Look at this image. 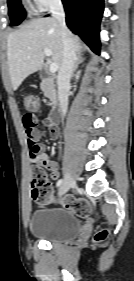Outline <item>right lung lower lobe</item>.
Listing matches in <instances>:
<instances>
[{"instance_id": "obj_1", "label": "right lung lower lobe", "mask_w": 134, "mask_h": 281, "mask_svg": "<svg viewBox=\"0 0 134 281\" xmlns=\"http://www.w3.org/2000/svg\"><path fill=\"white\" fill-rule=\"evenodd\" d=\"M66 23L97 54L100 51L99 25L103 14V0H62Z\"/></svg>"}]
</instances>
